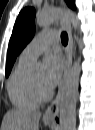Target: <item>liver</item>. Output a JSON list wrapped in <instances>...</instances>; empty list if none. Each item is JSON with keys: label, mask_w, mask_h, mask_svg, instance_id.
<instances>
[{"label": "liver", "mask_w": 95, "mask_h": 130, "mask_svg": "<svg viewBox=\"0 0 95 130\" xmlns=\"http://www.w3.org/2000/svg\"><path fill=\"white\" fill-rule=\"evenodd\" d=\"M40 117L38 111L9 110L3 118L1 130H38Z\"/></svg>", "instance_id": "6515ba94"}]
</instances>
